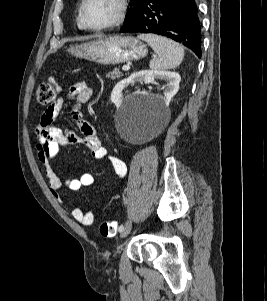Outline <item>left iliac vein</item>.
I'll return each mask as SVG.
<instances>
[{"label":"left iliac vein","mask_w":267,"mask_h":301,"mask_svg":"<svg viewBox=\"0 0 267 301\" xmlns=\"http://www.w3.org/2000/svg\"><path fill=\"white\" fill-rule=\"evenodd\" d=\"M131 229H132V222L131 221H128L124 227H123V230L120 232V236L122 238L128 236L131 232Z\"/></svg>","instance_id":"4c4485c4"}]
</instances>
